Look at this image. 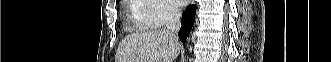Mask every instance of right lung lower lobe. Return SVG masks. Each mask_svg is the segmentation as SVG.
<instances>
[{"instance_id":"98d812e1","label":"right lung lower lobe","mask_w":331,"mask_h":62,"mask_svg":"<svg viewBox=\"0 0 331 62\" xmlns=\"http://www.w3.org/2000/svg\"><path fill=\"white\" fill-rule=\"evenodd\" d=\"M195 13H196L195 5H189L186 11L183 13L181 19L182 27L179 31V38L183 43L186 42V38L192 29L195 20Z\"/></svg>"}]
</instances>
